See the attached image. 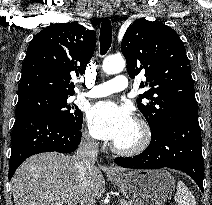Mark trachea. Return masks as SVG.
Masks as SVG:
<instances>
[{"label":"trachea","instance_id":"1","mask_svg":"<svg viewBox=\"0 0 212 205\" xmlns=\"http://www.w3.org/2000/svg\"><path fill=\"white\" fill-rule=\"evenodd\" d=\"M112 41V26L110 20L106 17L103 19L100 30V52L101 55L107 53Z\"/></svg>","mask_w":212,"mask_h":205}]
</instances>
